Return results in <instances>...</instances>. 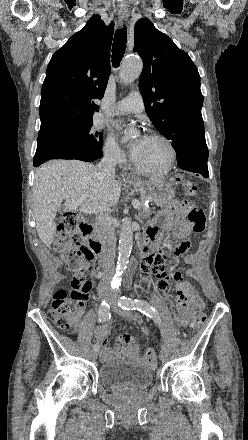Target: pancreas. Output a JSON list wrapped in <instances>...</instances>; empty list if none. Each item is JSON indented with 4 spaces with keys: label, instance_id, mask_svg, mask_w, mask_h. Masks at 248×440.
Segmentation results:
<instances>
[{
    "label": "pancreas",
    "instance_id": "obj_1",
    "mask_svg": "<svg viewBox=\"0 0 248 440\" xmlns=\"http://www.w3.org/2000/svg\"><path fill=\"white\" fill-rule=\"evenodd\" d=\"M146 199L147 198H141V202H140L141 203V209L139 211L140 217H142L144 219L150 218V215L152 213L151 209L145 207V205H144V202H145Z\"/></svg>",
    "mask_w": 248,
    "mask_h": 440
}]
</instances>
